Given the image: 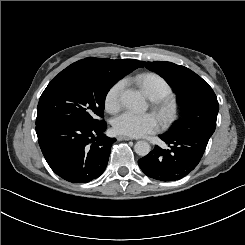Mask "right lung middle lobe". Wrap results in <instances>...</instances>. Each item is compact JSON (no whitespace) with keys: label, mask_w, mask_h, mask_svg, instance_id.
Segmentation results:
<instances>
[{"label":"right lung middle lobe","mask_w":245,"mask_h":245,"mask_svg":"<svg viewBox=\"0 0 245 245\" xmlns=\"http://www.w3.org/2000/svg\"><path fill=\"white\" fill-rule=\"evenodd\" d=\"M124 76L107 69L71 64L42 93L36 125L51 121L98 123L108 91Z\"/></svg>","instance_id":"obj_1"}]
</instances>
